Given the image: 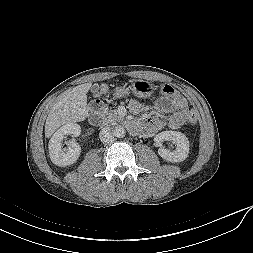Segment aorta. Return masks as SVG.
Instances as JSON below:
<instances>
[{"mask_svg": "<svg viewBox=\"0 0 253 253\" xmlns=\"http://www.w3.org/2000/svg\"><path fill=\"white\" fill-rule=\"evenodd\" d=\"M113 132L115 137L122 138L125 136V128L121 125L116 126Z\"/></svg>", "mask_w": 253, "mask_h": 253, "instance_id": "obj_1", "label": "aorta"}]
</instances>
